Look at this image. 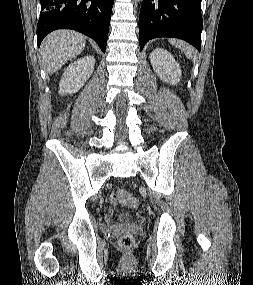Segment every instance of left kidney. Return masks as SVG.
<instances>
[{"mask_svg":"<svg viewBox=\"0 0 253 285\" xmlns=\"http://www.w3.org/2000/svg\"><path fill=\"white\" fill-rule=\"evenodd\" d=\"M151 65L159 78L166 83L176 85L181 79V68L173 55L165 49L157 48L151 52Z\"/></svg>","mask_w":253,"mask_h":285,"instance_id":"obj_1","label":"left kidney"}]
</instances>
